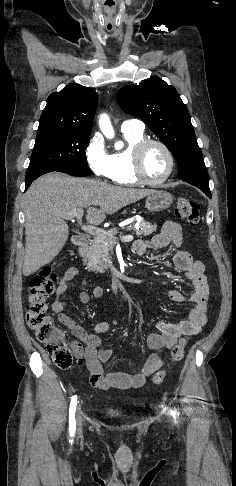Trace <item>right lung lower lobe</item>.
Masks as SVG:
<instances>
[{"label":"right lung lower lobe","instance_id":"obj_1","mask_svg":"<svg viewBox=\"0 0 236 486\" xmlns=\"http://www.w3.org/2000/svg\"><path fill=\"white\" fill-rule=\"evenodd\" d=\"M52 171L63 172V173H66V174H69V175H72V176H77V177H85V176L89 175L87 173L67 171V170L37 169V170H33V171H30V172H27L26 179H25V191L29 188V186L31 185V183L36 178H38L39 176H41V175H43L45 173L52 172Z\"/></svg>","mask_w":236,"mask_h":486}]
</instances>
